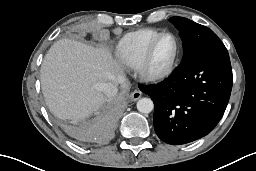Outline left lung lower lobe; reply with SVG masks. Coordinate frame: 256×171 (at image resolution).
<instances>
[{"label":"left lung lower lobe","mask_w":256,"mask_h":171,"mask_svg":"<svg viewBox=\"0 0 256 171\" xmlns=\"http://www.w3.org/2000/svg\"><path fill=\"white\" fill-rule=\"evenodd\" d=\"M227 50L210 51L185 61L155 85H142L154 102V129L169 144L180 145L210 133L222 118L232 89Z\"/></svg>","instance_id":"0a47b994"}]
</instances>
